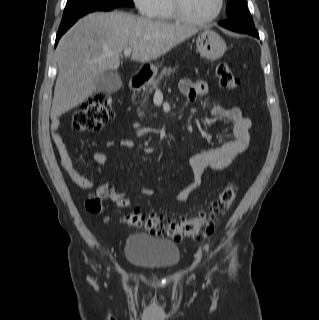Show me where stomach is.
<instances>
[{
	"label": "stomach",
	"mask_w": 319,
	"mask_h": 320,
	"mask_svg": "<svg viewBox=\"0 0 319 320\" xmlns=\"http://www.w3.org/2000/svg\"><path fill=\"white\" fill-rule=\"evenodd\" d=\"M196 45L200 55L212 61L222 57L227 49L222 37L211 29H205L198 35ZM152 72L155 75L157 68H152Z\"/></svg>",
	"instance_id": "0dacf381"
}]
</instances>
